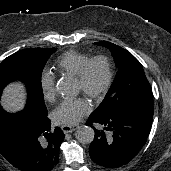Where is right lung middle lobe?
Returning a JSON list of instances; mask_svg holds the SVG:
<instances>
[{
  "instance_id": "1",
  "label": "right lung middle lobe",
  "mask_w": 171,
  "mask_h": 171,
  "mask_svg": "<svg viewBox=\"0 0 171 171\" xmlns=\"http://www.w3.org/2000/svg\"><path fill=\"white\" fill-rule=\"evenodd\" d=\"M56 49H23L10 55L0 64V97L3 88L13 80L26 81L29 89L28 101L23 111L9 114L0 106V153L7 151L19 137L18 128L25 119L30 117V122L36 125L48 114L44 103L41 76L48 58Z\"/></svg>"
}]
</instances>
